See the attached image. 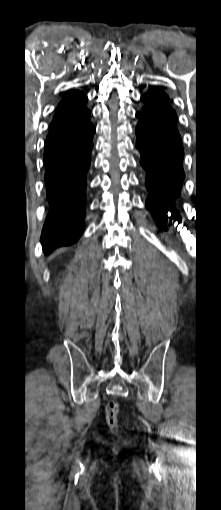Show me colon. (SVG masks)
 Listing matches in <instances>:
<instances>
[{"label":"colon","instance_id":"colon-1","mask_svg":"<svg viewBox=\"0 0 221 510\" xmlns=\"http://www.w3.org/2000/svg\"><path fill=\"white\" fill-rule=\"evenodd\" d=\"M105 411L108 426L110 429L116 430L118 427L119 404L116 401H110Z\"/></svg>","mask_w":221,"mask_h":510}]
</instances>
